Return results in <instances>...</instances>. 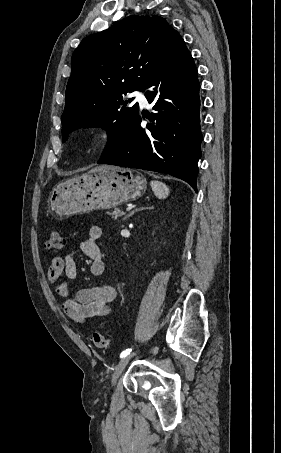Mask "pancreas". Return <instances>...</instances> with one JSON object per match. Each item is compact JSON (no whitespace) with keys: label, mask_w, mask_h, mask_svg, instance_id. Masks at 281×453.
Segmentation results:
<instances>
[{"label":"pancreas","mask_w":281,"mask_h":453,"mask_svg":"<svg viewBox=\"0 0 281 453\" xmlns=\"http://www.w3.org/2000/svg\"><path fill=\"white\" fill-rule=\"evenodd\" d=\"M109 214H114V218H117V216H122L123 212H121L120 208H116V210L109 212Z\"/></svg>","instance_id":"pancreas-1"}]
</instances>
